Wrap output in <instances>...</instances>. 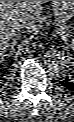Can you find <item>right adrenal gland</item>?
Listing matches in <instances>:
<instances>
[{
    "instance_id": "2a0ac1e0",
    "label": "right adrenal gland",
    "mask_w": 74,
    "mask_h": 122,
    "mask_svg": "<svg viewBox=\"0 0 74 122\" xmlns=\"http://www.w3.org/2000/svg\"><path fill=\"white\" fill-rule=\"evenodd\" d=\"M16 43H17V41H16V42H14V43H13V45H15ZM11 49H14V46H12V47H11Z\"/></svg>"
}]
</instances>
